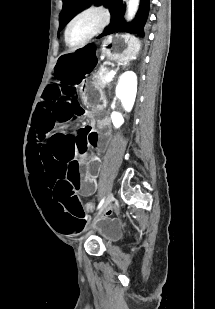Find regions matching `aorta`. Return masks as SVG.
<instances>
[{
	"label": "aorta",
	"instance_id": "1",
	"mask_svg": "<svg viewBox=\"0 0 215 309\" xmlns=\"http://www.w3.org/2000/svg\"><path fill=\"white\" fill-rule=\"evenodd\" d=\"M139 6V0H128L127 20L134 18Z\"/></svg>",
	"mask_w": 215,
	"mask_h": 309
}]
</instances>
